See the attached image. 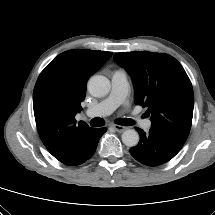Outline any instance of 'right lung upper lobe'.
I'll use <instances>...</instances> for the list:
<instances>
[{"label": "right lung upper lobe", "instance_id": "obj_1", "mask_svg": "<svg viewBox=\"0 0 215 215\" xmlns=\"http://www.w3.org/2000/svg\"><path fill=\"white\" fill-rule=\"evenodd\" d=\"M112 52L69 50L54 58L41 72L33 92V108L39 136L60 162L71 165L95 128L76 124L82 110L88 79Z\"/></svg>", "mask_w": 215, "mask_h": 215}]
</instances>
